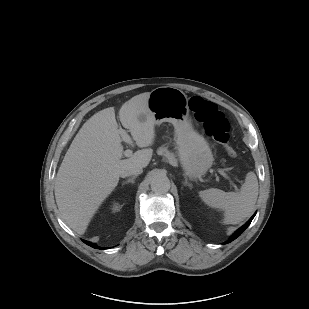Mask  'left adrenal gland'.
Returning <instances> with one entry per match:
<instances>
[{"label":"left adrenal gland","mask_w":309,"mask_h":309,"mask_svg":"<svg viewBox=\"0 0 309 309\" xmlns=\"http://www.w3.org/2000/svg\"><path fill=\"white\" fill-rule=\"evenodd\" d=\"M185 186H188L190 189L192 188V185L185 179V182L183 183Z\"/></svg>","instance_id":"a2214340"}]
</instances>
